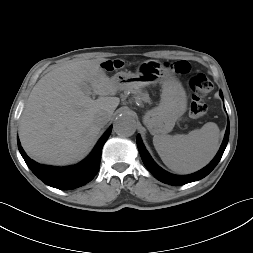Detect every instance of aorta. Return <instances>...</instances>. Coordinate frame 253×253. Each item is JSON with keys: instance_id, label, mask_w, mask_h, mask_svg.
I'll return each instance as SVG.
<instances>
[{"instance_id": "aorta-1", "label": "aorta", "mask_w": 253, "mask_h": 253, "mask_svg": "<svg viewBox=\"0 0 253 253\" xmlns=\"http://www.w3.org/2000/svg\"><path fill=\"white\" fill-rule=\"evenodd\" d=\"M113 128L119 136H131L136 131V120L129 113H121L117 116Z\"/></svg>"}]
</instances>
